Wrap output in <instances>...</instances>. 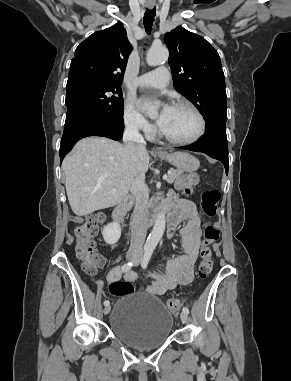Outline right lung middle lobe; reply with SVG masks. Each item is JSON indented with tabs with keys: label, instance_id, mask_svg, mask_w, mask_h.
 Returning <instances> with one entry per match:
<instances>
[{
	"label": "right lung middle lobe",
	"instance_id": "dd1d6c3e",
	"mask_svg": "<svg viewBox=\"0 0 291 381\" xmlns=\"http://www.w3.org/2000/svg\"><path fill=\"white\" fill-rule=\"evenodd\" d=\"M65 103L67 110L82 108L93 120L123 116V98L118 85L82 78L67 81Z\"/></svg>",
	"mask_w": 291,
	"mask_h": 381
}]
</instances>
